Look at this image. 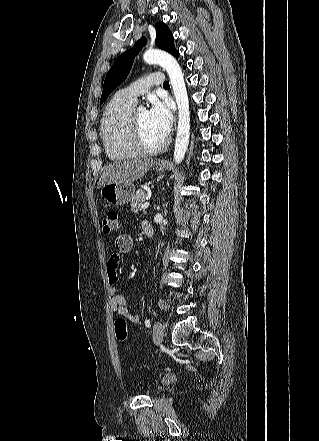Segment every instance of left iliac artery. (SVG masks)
Instances as JSON below:
<instances>
[{
	"label": "left iliac artery",
	"mask_w": 319,
	"mask_h": 441,
	"mask_svg": "<svg viewBox=\"0 0 319 441\" xmlns=\"http://www.w3.org/2000/svg\"><path fill=\"white\" fill-rule=\"evenodd\" d=\"M145 325H146V327H150L151 326V323H150V320L149 319H146L145 320Z\"/></svg>",
	"instance_id": "left-iliac-artery-1"
}]
</instances>
